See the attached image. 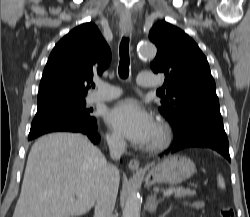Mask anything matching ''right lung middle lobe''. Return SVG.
I'll list each match as a JSON object with an SVG mask.
<instances>
[{"label":"right lung middle lobe","mask_w":250,"mask_h":217,"mask_svg":"<svg viewBox=\"0 0 250 217\" xmlns=\"http://www.w3.org/2000/svg\"><path fill=\"white\" fill-rule=\"evenodd\" d=\"M84 99L60 102L38 108L32 121L28 140L55 131H89L96 126Z\"/></svg>","instance_id":"right-lung-middle-lobe-1"}]
</instances>
